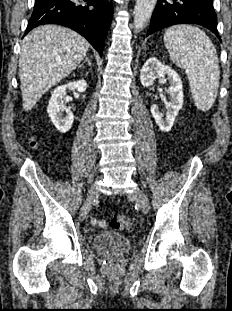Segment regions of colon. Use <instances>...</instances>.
Instances as JSON below:
<instances>
[{
    "mask_svg": "<svg viewBox=\"0 0 232 311\" xmlns=\"http://www.w3.org/2000/svg\"><path fill=\"white\" fill-rule=\"evenodd\" d=\"M36 143L34 139L30 140L32 147H35ZM110 226L115 230L129 232L132 230V220L125 215H114L110 220Z\"/></svg>",
    "mask_w": 232,
    "mask_h": 311,
    "instance_id": "5ec220e1",
    "label": "colon"
}]
</instances>
